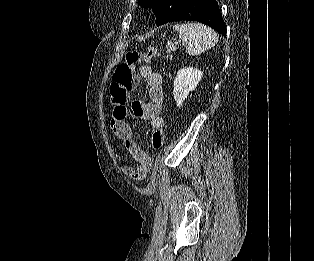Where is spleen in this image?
Wrapping results in <instances>:
<instances>
[{
    "label": "spleen",
    "mask_w": 314,
    "mask_h": 261,
    "mask_svg": "<svg viewBox=\"0 0 314 261\" xmlns=\"http://www.w3.org/2000/svg\"><path fill=\"white\" fill-rule=\"evenodd\" d=\"M179 37L184 41L189 55H199L218 43V36L211 28L202 23H183L174 25Z\"/></svg>",
    "instance_id": "obj_1"
}]
</instances>
